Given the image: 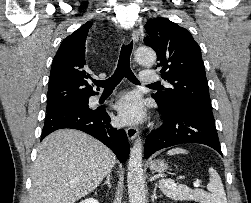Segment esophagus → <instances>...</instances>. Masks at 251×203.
Returning <instances> with one entry per match:
<instances>
[{
    "mask_svg": "<svg viewBox=\"0 0 251 203\" xmlns=\"http://www.w3.org/2000/svg\"><path fill=\"white\" fill-rule=\"evenodd\" d=\"M139 36H140V31L138 29H133L132 31V39L134 42H137L139 40ZM126 133H127V137L130 141H134L136 139V137L138 136V130L133 127V126H129L126 129Z\"/></svg>",
    "mask_w": 251,
    "mask_h": 203,
    "instance_id": "34e87169",
    "label": "esophagus"
}]
</instances>
